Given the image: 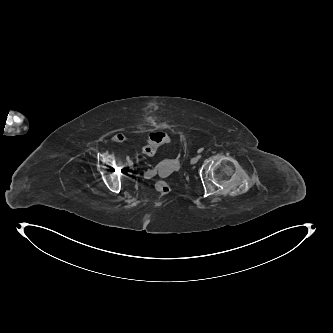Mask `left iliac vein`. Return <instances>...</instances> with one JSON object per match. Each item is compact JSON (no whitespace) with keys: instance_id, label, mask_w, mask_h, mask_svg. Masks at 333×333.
<instances>
[{"instance_id":"left-iliac-vein-1","label":"left iliac vein","mask_w":333,"mask_h":333,"mask_svg":"<svg viewBox=\"0 0 333 333\" xmlns=\"http://www.w3.org/2000/svg\"><path fill=\"white\" fill-rule=\"evenodd\" d=\"M199 158L198 157H194L191 159V164H196L198 162Z\"/></svg>"}]
</instances>
